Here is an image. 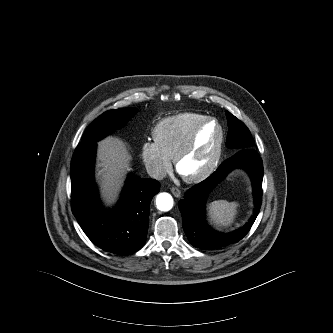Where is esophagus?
Masks as SVG:
<instances>
[{
  "label": "esophagus",
  "mask_w": 333,
  "mask_h": 333,
  "mask_svg": "<svg viewBox=\"0 0 333 333\" xmlns=\"http://www.w3.org/2000/svg\"><path fill=\"white\" fill-rule=\"evenodd\" d=\"M171 192L177 198L181 196V191L177 187H172Z\"/></svg>",
  "instance_id": "obj_1"
}]
</instances>
